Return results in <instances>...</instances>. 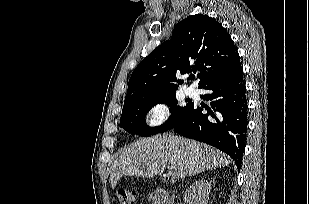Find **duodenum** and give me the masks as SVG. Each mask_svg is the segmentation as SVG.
<instances>
[{
    "mask_svg": "<svg viewBox=\"0 0 309 204\" xmlns=\"http://www.w3.org/2000/svg\"><path fill=\"white\" fill-rule=\"evenodd\" d=\"M153 204H168V195L166 191L158 187L154 192Z\"/></svg>",
    "mask_w": 309,
    "mask_h": 204,
    "instance_id": "1",
    "label": "duodenum"
}]
</instances>
